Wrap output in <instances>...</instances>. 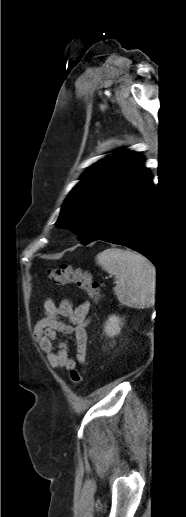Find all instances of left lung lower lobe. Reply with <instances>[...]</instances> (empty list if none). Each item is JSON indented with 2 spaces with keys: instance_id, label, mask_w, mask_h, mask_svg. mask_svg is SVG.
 <instances>
[{
  "instance_id": "0a47b994",
  "label": "left lung lower lobe",
  "mask_w": 186,
  "mask_h": 517,
  "mask_svg": "<svg viewBox=\"0 0 186 517\" xmlns=\"http://www.w3.org/2000/svg\"><path fill=\"white\" fill-rule=\"evenodd\" d=\"M154 207V184L147 170L105 214L89 243L103 240L126 246L146 256L159 269L154 250Z\"/></svg>"
}]
</instances>
